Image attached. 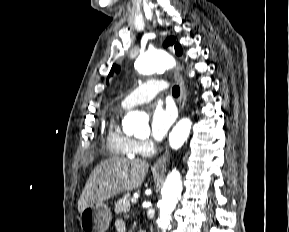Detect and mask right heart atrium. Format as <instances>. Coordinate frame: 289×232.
I'll return each mask as SVG.
<instances>
[{
  "label": "right heart atrium",
  "mask_w": 289,
  "mask_h": 232,
  "mask_svg": "<svg viewBox=\"0 0 289 232\" xmlns=\"http://www.w3.org/2000/svg\"><path fill=\"white\" fill-rule=\"evenodd\" d=\"M137 151L140 154H146L151 148V143L147 139H140L136 141Z\"/></svg>",
  "instance_id": "right-heart-atrium-1"
}]
</instances>
